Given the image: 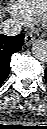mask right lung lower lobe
Segmentation results:
<instances>
[{
  "instance_id": "1",
  "label": "right lung lower lobe",
  "mask_w": 47,
  "mask_h": 129,
  "mask_svg": "<svg viewBox=\"0 0 47 129\" xmlns=\"http://www.w3.org/2000/svg\"><path fill=\"white\" fill-rule=\"evenodd\" d=\"M23 40V34L16 36L0 35V85L9 74L11 56L21 50Z\"/></svg>"
}]
</instances>
